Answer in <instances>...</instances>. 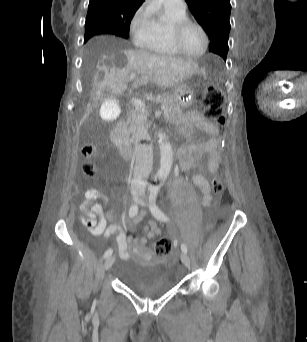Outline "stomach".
<instances>
[{
    "label": "stomach",
    "mask_w": 307,
    "mask_h": 342,
    "mask_svg": "<svg viewBox=\"0 0 307 342\" xmlns=\"http://www.w3.org/2000/svg\"><path fill=\"white\" fill-rule=\"evenodd\" d=\"M201 77L202 73L197 72L174 88L172 97L180 108L184 109L192 103L196 92L200 88Z\"/></svg>",
    "instance_id": "0dacf381"
}]
</instances>
